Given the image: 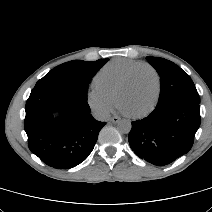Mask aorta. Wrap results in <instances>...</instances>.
I'll return each instance as SVG.
<instances>
[{
    "mask_svg": "<svg viewBox=\"0 0 212 212\" xmlns=\"http://www.w3.org/2000/svg\"><path fill=\"white\" fill-rule=\"evenodd\" d=\"M131 128H132V125H131V122L129 120H121L118 123V130L121 133L127 134V133L130 132Z\"/></svg>",
    "mask_w": 212,
    "mask_h": 212,
    "instance_id": "1",
    "label": "aorta"
}]
</instances>
